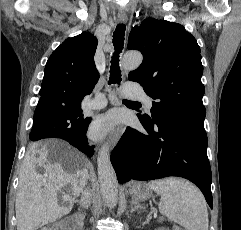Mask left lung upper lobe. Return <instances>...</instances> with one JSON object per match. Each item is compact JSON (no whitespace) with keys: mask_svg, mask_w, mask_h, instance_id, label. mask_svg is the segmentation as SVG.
<instances>
[{"mask_svg":"<svg viewBox=\"0 0 241 230\" xmlns=\"http://www.w3.org/2000/svg\"><path fill=\"white\" fill-rule=\"evenodd\" d=\"M128 49L143 54L142 64L129 73V80L140 83L155 99L152 119L139 117L153 122L158 113L171 112L204 121L203 66L193 35L180 24L149 18L131 30Z\"/></svg>","mask_w":241,"mask_h":230,"instance_id":"5c2ea615","label":"left lung upper lobe"}]
</instances>
